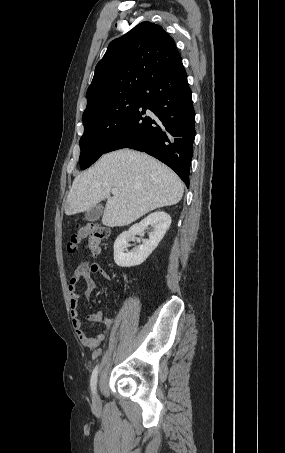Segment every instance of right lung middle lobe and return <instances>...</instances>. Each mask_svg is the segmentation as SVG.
<instances>
[{
  "label": "right lung middle lobe",
  "instance_id": "right-lung-middle-lobe-1",
  "mask_svg": "<svg viewBox=\"0 0 285 453\" xmlns=\"http://www.w3.org/2000/svg\"><path fill=\"white\" fill-rule=\"evenodd\" d=\"M141 92L111 98L84 112V134L80 139L81 169L91 166L119 134L141 100Z\"/></svg>",
  "mask_w": 285,
  "mask_h": 453
}]
</instances>
